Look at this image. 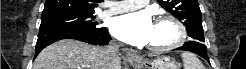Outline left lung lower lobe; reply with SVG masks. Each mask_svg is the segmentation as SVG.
I'll return each mask as SVG.
<instances>
[{"label":"left lung lower lobe","mask_w":246,"mask_h":69,"mask_svg":"<svg viewBox=\"0 0 246 69\" xmlns=\"http://www.w3.org/2000/svg\"><path fill=\"white\" fill-rule=\"evenodd\" d=\"M176 50H185V51L193 52L209 62L208 55H207V48L201 42L188 41L183 46L176 48Z\"/></svg>","instance_id":"left-lung-lower-lobe-1"}]
</instances>
